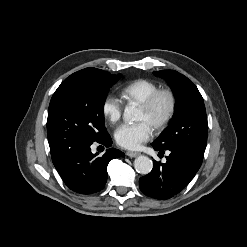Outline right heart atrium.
I'll use <instances>...</instances> for the list:
<instances>
[{
  "label": "right heart atrium",
  "mask_w": 247,
  "mask_h": 247,
  "mask_svg": "<svg viewBox=\"0 0 247 247\" xmlns=\"http://www.w3.org/2000/svg\"><path fill=\"white\" fill-rule=\"evenodd\" d=\"M101 112L105 119L114 124L121 118L122 104L116 97L108 95L101 104Z\"/></svg>",
  "instance_id": "d8ad5b80"
}]
</instances>
